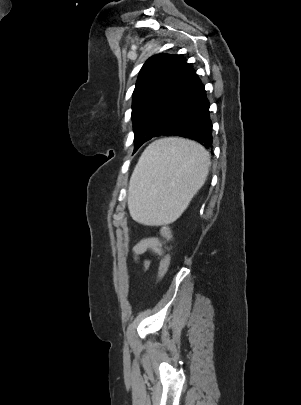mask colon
I'll use <instances>...</instances> for the list:
<instances>
[{
    "mask_svg": "<svg viewBox=\"0 0 301 405\" xmlns=\"http://www.w3.org/2000/svg\"><path fill=\"white\" fill-rule=\"evenodd\" d=\"M161 235L167 240L172 241L173 234L172 230L169 226L163 225L160 229ZM171 256L169 253H166L160 261L159 270H158V278L156 284H159L164 276L166 275L169 265H170Z\"/></svg>",
    "mask_w": 301,
    "mask_h": 405,
    "instance_id": "obj_1",
    "label": "colon"
}]
</instances>
